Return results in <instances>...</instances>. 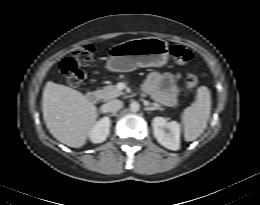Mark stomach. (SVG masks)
I'll return each instance as SVG.
<instances>
[{"instance_id":"1","label":"stomach","mask_w":260,"mask_h":205,"mask_svg":"<svg viewBox=\"0 0 260 205\" xmlns=\"http://www.w3.org/2000/svg\"><path fill=\"white\" fill-rule=\"evenodd\" d=\"M169 59L168 43L158 37L131 39L112 47L107 68L128 72L138 67H162Z\"/></svg>"}]
</instances>
